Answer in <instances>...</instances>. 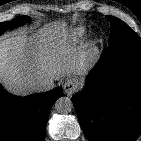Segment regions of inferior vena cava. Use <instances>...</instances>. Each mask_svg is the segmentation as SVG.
I'll use <instances>...</instances> for the list:
<instances>
[{
  "label": "inferior vena cava",
  "instance_id": "602c4592",
  "mask_svg": "<svg viewBox=\"0 0 141 141\" xmlns=\"http://www.w3.org/2000/svg\"><path fill=\"white\" fill-rule=\"evenodd\" d=\"M54 88V79L45 77L35 82L34 89L37 92L48 91Z\"/></svg>",
  "mask_w": 141,
  "mask_h": 141
}]
</instances>
